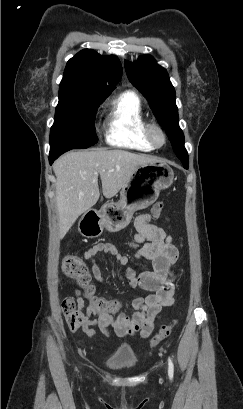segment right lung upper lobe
<instances>
[{
  "instance_id": "right-lung-upper-lobe-1",
  "label": "right lung upper lobe",
  "mask_w": 243,
  "mask_h": 409,
  "mask_svg": "<svg viewBox=\"0 0 243 409\" xmlns=\"http://www.w3.org/2000/svg\"><path fill=\"white\" fill-rule=\"evenodd\" d=\"M121 77L122 66L116 56H102L94 50L84 49L68 61L59 95L106 98Z\"/></svg>"
}]
</instances>
